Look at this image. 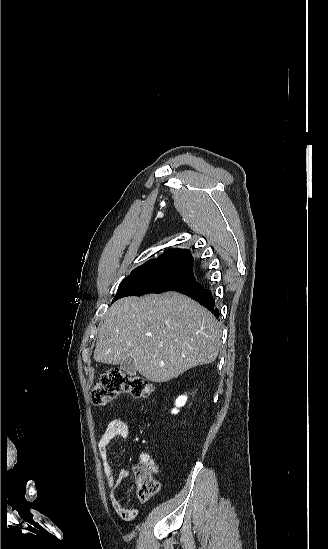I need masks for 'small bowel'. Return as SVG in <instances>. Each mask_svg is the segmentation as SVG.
<instances>
[{"label": "small bowel", "instance_id": "c3829d8e", "mask_svg": "<svg viewBox=\"0 0 328 549\" xmlns=\"http://www.w3.org/2000/svg\"><path fill=\"white\" fill-rule=\"evenodd\" d=\"M130 437L131 427L129 422L122 417H115L108 423L98 442V451L102 462L105 479L110 490L109 496L112 507L121 517L125 519H127V515L130 512L134 513V511L124 507L119 500L120 488L127 480L129 471L127 469H122L116 477L114 476L109 446L114 439H130ZM139 462L143 468L147 470L150 476L154 474H161L162 472L160 465L148 453L140 454ZM152 482L153 484L149 497L155 494L160 488L159 482L154 479H152Z\"/></svg>", "mask_w": 328, "mask_h": 549}]
</instances>
